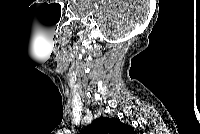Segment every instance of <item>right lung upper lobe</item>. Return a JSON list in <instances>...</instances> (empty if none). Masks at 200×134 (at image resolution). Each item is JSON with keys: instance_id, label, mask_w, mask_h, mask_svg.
Returning a JSON list of instances; mask_svg holds the SVG:
<instances>
[{"instance_id": "1", "label": "right lung upper lobe", "mask_w": 200, "mask_h": 134, "mask_svg": "<svg viewBox=\"0 0 200 134\" xmlns=\"http://www.w3.org/2000/svg\"><path fill=\"white\" fill-rule=\"evenodd\" d=\"M85 134H132L134 129L121 123L119 119L101 117L94 120L85 130Z\"/></svg>"}]
</instances>
